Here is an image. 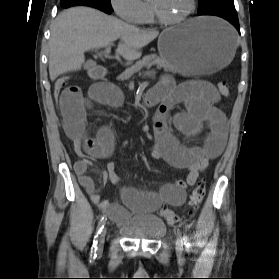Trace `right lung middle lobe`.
<instances>
[{"label":"right lung middle lobe","mask_w":279,"mask_h":279,"mask_svg":"<svg viewBox=\"0 0 279 279\" xmlns=\"http://www.w3.org/2000/svg\"><path fill=\"white\" fill-rule=\"evenodd\" d=\"M101 5H103L105 8H107L110 11H113L111 7V2L110 0H97Z\"/></svg>","instance_id":"right-lung-middle-lobe-1"}]
</instances>
